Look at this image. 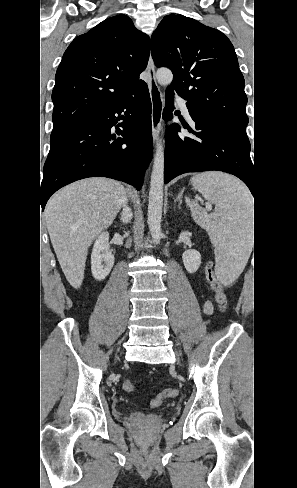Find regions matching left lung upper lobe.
<instances>
[{
	"label": "left lung upper lobe",
	"instance_id": "left-lung-upper-lobe-1",
	"mask_svg": "<svg viewBox=\"0 0 297 488\" xmlns=\"http://www.w3.org/2000/svg\"><path fill=\"white\" fill-rule=\"evenodd\" d=\"M157 67H168L195 120L247 135V96L234 47L219 30L183 15L165 16L151 38Z\"/></svg>",
	"mask_w": 297,
	"mask_h": 488
}]
</instances>
